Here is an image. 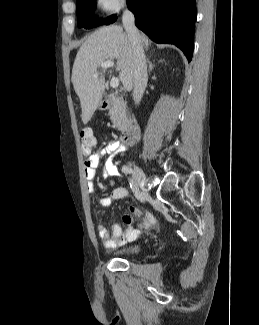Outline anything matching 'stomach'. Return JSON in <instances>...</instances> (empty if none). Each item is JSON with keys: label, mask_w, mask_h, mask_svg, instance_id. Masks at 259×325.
Segmentation results:
<instances>
[{"label": "stomach", "mask_w": 259, "mask_h": 325, "mask_svg": "<svg viewBox=\"0 0 259 325\" xmlns=\"http://www.w3.org/2000/svg\"><path fill=\"white\" fill-rule=\"evenodd\" d=\"M100 109H103V106L102 105H100Z\"/></svg>", "instance_id": "stomach-1"}]
</instances>
